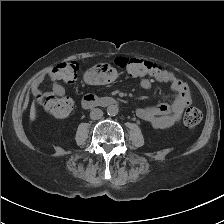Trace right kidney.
Returning a JSON list of instances; mask_svg holds the SVG:
<instances>
[{
  "label": "right kidney",
  "instance_id": "ca27d5eb",
  "mask_svg": "<svg viewBox=\"0 0 224 224\" xmlns=\"http://www.w3.org/2000/svg\"><path fill=\"white\" fill-rule=\"evenodd\" d=\"M60 135H61V131H59V130H58V131H56L55 136H56V137H59Z\"/></svg>",
  "mask_w": 224,
  "mask_h": 224
}]
</instances>
